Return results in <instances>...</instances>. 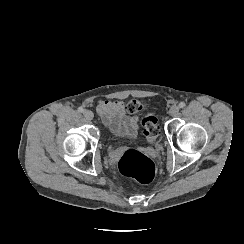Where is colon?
<instances>
[{
	"mask_svg": "<svg viewBox=\"0 0 244 244\" xmlns=\"http://www.w3.org/2000/svg\"><path fill=\"white\" fill-rule=\"evenodd\" d=\"M128 111L132 114L144 115L141 121L143 133L149 146L154 148L160 133L156 111L148 109L147 104L141 99L132 100ZM155 169L153 159L136 151L126 152L119 162V170L124 176L139 177L137 181L142 184H149L153 181L152 177L155 175ZM140 175L143 177H140Z\"/></svg>",
	"mask_w": 244,
	"mask_h": 244,
	"instance_id": "5ec220e1",
	"label": "colon"
}]
</instances>
